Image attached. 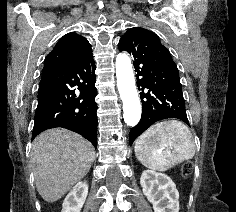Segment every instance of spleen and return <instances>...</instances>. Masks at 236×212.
<instances>
[{
	"instance_id": "1",
	"label": "spleen",
	"mask_w": 236,
	"mask_h": 212,
	"mask_svg": "<svg viewBox=\"0 0 236 212\" xmlns=\"http://www.w3.org/2000/svg\"><path fill=\"white\" fill-rule=\"evenodd\" d=\"M135 155L145 167L166 171L192 159L195 144L187 125L178 120L160 121L149 127L135 142Z\"/></svg>"
}]
</instances>
